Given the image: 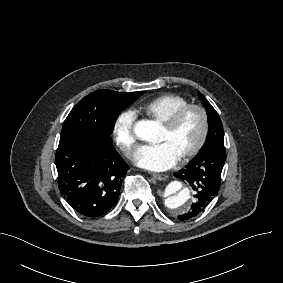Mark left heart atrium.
<instances>
[{
  "instance_id": "obj_1",
  "label": "left heart atrium",
  "mask_w": 283,
  "mask_h": 283,
  "mask_svg": "<svg viewBox=\"0 0 283 283\" xmlns=\"http://www.w3.org/2000/svg\"><path fill=\"white\" fill-rule=\"evenodd\" d=\"M179 159L178 153L166 142L140 146L133 156L137 167L152 172L165 171L173 167Z\"/></svg>"
}]
</instances>
